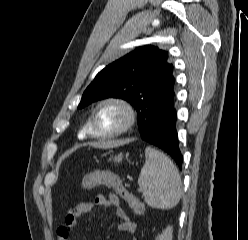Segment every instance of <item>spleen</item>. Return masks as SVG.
<instances>
[{
  "label": "spleen",
  "mask_w": 248,
  "mask_h": 240,
  "mask_svg": "<svg viewBox=\"0 0 248 240\" xmlns=\"http://www.w3.org/2000/svg\"><path fill=\"white\" fill-rule=\"evenodd\" d=\"M146 162L141 169L138 185L147 205L171 209L182 195L181 177L174 163L162 152L147 147Z\"/></svg>",
  "instance_id": "obj_1"
}]
</instances>
